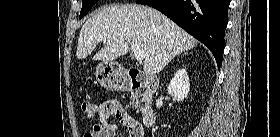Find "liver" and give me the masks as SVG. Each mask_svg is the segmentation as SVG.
I'll list each match as a JSON object with an SVG mask.
<instances>
[{
  "label": "liver",
  "instance_id": "liver-1",
  "mask_svg": "<svg viewBox=\"0 0 280 137\" xmlns=\"http://www.w3.org/2000/svg\"><path fill=\"white\" fill-rule=\"evenodd\" d=\"M101 42L104 47L94 60L109 62L137 43L145 53L143 69L148 75H156L173 57L197 46L194 37L164 14L136 4L105 7L88 19L79 34L77 58H86Z\"/></svg>",
  "mask_w": 280,
  "mask_h": 137
}]
</instances>
